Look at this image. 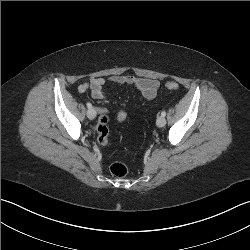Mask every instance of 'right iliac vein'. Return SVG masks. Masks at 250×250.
<instances>
[{
    "label": "right iliac vein",
    "instance_id": "obj_1",
    "mask_svg": "<svg viewBox=\"0 0 250 250\" xmlns=\"http://www.w3.org/2000/svg\"><path fill=\"white\" fill-rule=\"evenodd\" d=\"M87 116L89 119H94L96 117V111L94 108H89L87 111Z\"/></svg>",
    "mask_w": 250,
    "mask_h": 250
}]
</instances>
